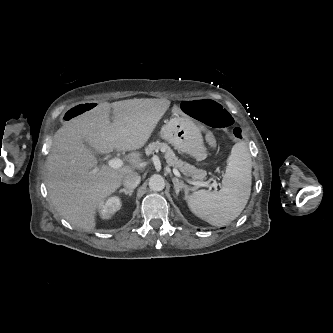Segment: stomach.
<instances>
[{
    "mask_svg": "<svg viewBox=\"0 0 333 333\" xmlns=\"http://www.w3.org/2000/svg\"><path fill=\"white\" fill-rule=\"evenodd\" d=\"M192 119L178 116L170 119L161 129V137L171 143L181 153L202 161L209 155L204 145L201 131L193 127Z\"/></svg>",
    "mask_w": 333,
    "mask_h": 333,
    "instance_id": "stomach-1",
    "label": "stomach"
}]
</instances>
